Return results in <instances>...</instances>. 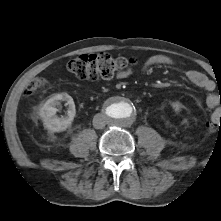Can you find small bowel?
I'll list each match as a JSON object with an SVG mask.
<instances>
[{
	"mask_svg": "<svg viewBox=\"0 0 221 221\" xmlns=\"http://www.w3.org/2000/svg\"><path fill=\"white\" fill-rule=\"evenodd\" d=\"M170 63L171 60L168 57L164 55H155L147 60L145 69L156 65H167ZM129 75L130 70H125L119 74V78H126ZM185 75L192 84L207 92L205 103L209 108L214 109L221 104L220 96L215 93V83L213 80L197 70H189Z\"/></svg>",
	"mask_w": 221,
	"mask_h": 221,
	"instance_id": "obj_1",
	"label": "small bowel"
}]
</instances>
